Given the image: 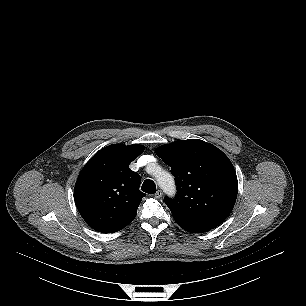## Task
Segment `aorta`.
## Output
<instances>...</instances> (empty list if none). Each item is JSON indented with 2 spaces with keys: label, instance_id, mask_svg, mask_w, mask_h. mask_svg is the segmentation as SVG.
Returning <instances> with one entry per match:
<instances>
[{
  "label": "aorta",
  "instance_id": "1",
  "mask_svg": "<svg viewBox=\"0 0 306 306\" xmlns=\"http://www.w3.org/2000/svg\"><path fill=\"white\" fill-rule=\"evenodd\" d=\"M156 180L165 193L168 195H173L175 193L174 178L170 173L161 171L156 175Z\"/></svg>",
  "mask_w": 306,
  "mask_h": 306
}]
</instances>
